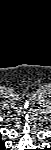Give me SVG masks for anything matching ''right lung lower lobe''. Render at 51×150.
<instances>
[{
  "label": "right lung lower lobe",
  "instance_id": "98d812e1",
  "mask_svg": "<svg viewBox=\"0 0 51 150\" xmlns=\"http://www.w3.org/2000/svg\"><path fill=\"white\" fill-rule=\"evenodd\" d=\"M1 147H2V148H5V146H4L3 144L1 145Z\"/></svg>",
  "mask_w": 51,
  "mask_h": 150
}]
</instances>
